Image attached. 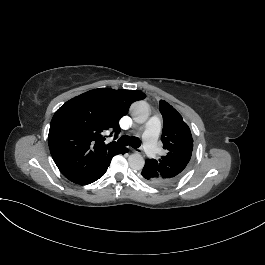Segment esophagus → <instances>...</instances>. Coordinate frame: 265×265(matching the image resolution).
<instances>
[{"instance_id":"obj_1","label":"esophagus","mask_w":265,"mask_h":265,"mask_svg":"<svg viewBox=\"0 0 265 265\" xmlns=\"http://www.w3.org/2000/svg\"><path fill=\"white\" fill-rule=\"evenodd\" d=\"M142 150H143L142 148H137V149L134 150V152L141 153Z\"/></svg>"}]
</instances>
